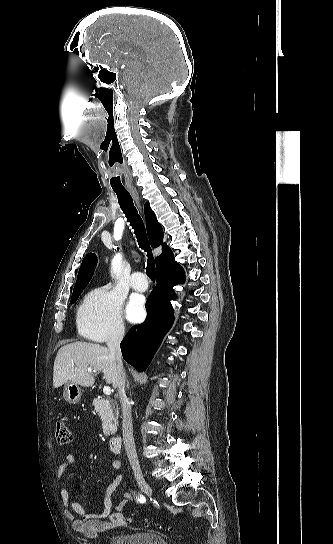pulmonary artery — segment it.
Listing matches in <instances>:
<instances>
[{
	"label": "pulmonary artery",
	"instance_id": "obj_1",
	"mask_svg": "<svg viewBox=\"0 0 333 544\" xmlns=\"http://www.w3.org/2000/svg\"><path fill=\"white\" fill-rule=\"evenodd\" d=\"M131 286L136 291L144 292L148 289V282L142 272H134L131 275Z\"/></svg>",
	"mask_w": 333,
	"mask_h": 544
}]
</instances>
